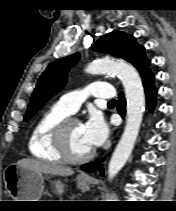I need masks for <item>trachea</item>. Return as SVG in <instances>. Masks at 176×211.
Segmentation results:
<instances>
[{"label":"trachea","mask_w":176,"mask_h":211,"mask_svg":"<svg viewBox=\"0 0 176 211\" xmlns=\"http://www.w3.org/2000/svg\"><path fill=\"white\" fill-rule=\"evenodd\" d=\"M108 104H116V100L113 99V100L109 101Z\"/></svg>","instance_id":"3493384b"}]
</instances>
